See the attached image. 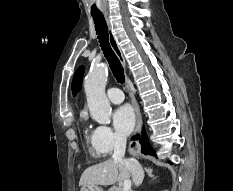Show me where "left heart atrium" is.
<instances>
[{
	"label": "left heart atrium",
	"mask_w": 233,
	"mask_h": 191,
	"mask_svg": "<svg viewBox=\"0 0 233 191\" xmlns=\"http://www.w3.org/2000/svg\"><path fill=\"white\" fill-rule=\"evenodd\" d=\"M113 124L116 131L123 135H129L135 126V114L129 105H123L115 110Z\"/></svg>",
	"instance_id": "39dd6f15"
}]
</instances>
